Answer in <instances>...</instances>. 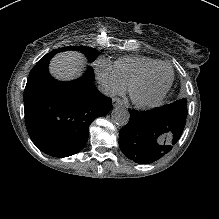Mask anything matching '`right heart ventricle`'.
Instances as JSON below:
<instances>
[{
    "label": "right heart ventricle",
    "mask_w": 219,
    "mask_h": 219,
    "mask_svg": "<svg viewBox=\"0 0 219 219\" xmlns=\"http://www.w3.org/2000/svg\"><path fill=\"white\" fill-rule=\"evenodd\" d=\"M158 60L145 56H126L115 60L113 71L125 85H130L141 73L156 65Z\"/></svg>",
    "instance_id": "obj_1"
}]
</instances>
